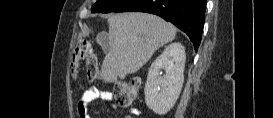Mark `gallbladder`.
<instances>
[{"label":"gallbladder","instance_id":"1","mask_svg":"<svg viewBox=\"0 0 273 118\" xmlns=\"http://www.w3.org/2000/svg\"><path fill=\"white\" fill-rule=\"evenodd\" d=\"M103 51H104L105 53H107V52L109 51V46H108V43H107V42H105V44L103 45Z\"/></svg>","mask_w":273,"mask_h":118}]
</instances>
